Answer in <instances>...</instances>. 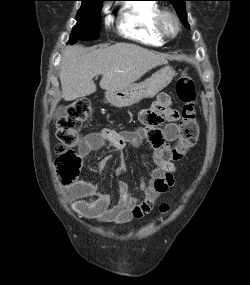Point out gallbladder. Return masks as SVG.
I'll return each instance as SVG.
<instances>
[{"label":"gallbladder","mask_w":250,"mask_h":285,"mask_svg":"<svg viewBox=\"0 0 250 285\" xmlns=\"http://www.w3.org/2000/svg\"><path fill=\"white\" fill-rule=\"evenodd\" d=\"M65 113H66V110L64 109V107H59V108H57V110L55 111L54 117H55L56 119L61 118V117H63V116L65 115Z\"/></svg>","instance_id":"1"}]
</instances>
